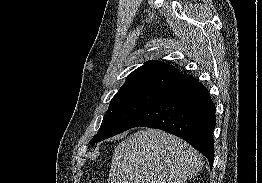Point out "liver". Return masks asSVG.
<instances>
[{"label": "liver", "instance_id": "liver-1", "mask_svg": "<svg viewBox=\"0 0 262 183\" xmlns=\"http://www.w3.org/2000/svg\"><path fill=\"white\" fill-rule=\"evenodd\" d=\"M187 142L158 129L135 132L112 156L109 183H185L203 167Z\"/></svg>", "mask_w": 262, "mask_h": 183}]
</instances>
